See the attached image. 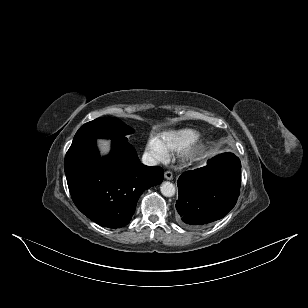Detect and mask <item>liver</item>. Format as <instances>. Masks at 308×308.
<instances>
[{
  "label": "liver",
  "instance_id": "1",
  "mask_svg": "<svg viewBox=\"0 0 308 308\" xmlns=\"http://www.w3.org/2000/svg\"><path fill=\"white\" fill-rule=\"evenodd\" d=\"M99 143V148H100V152L101 154L105 155L109 152L110 150V140H98Z\"/></svg>",
  "mask_w": 308,
  "mask_h": 308
}]
</instances>
